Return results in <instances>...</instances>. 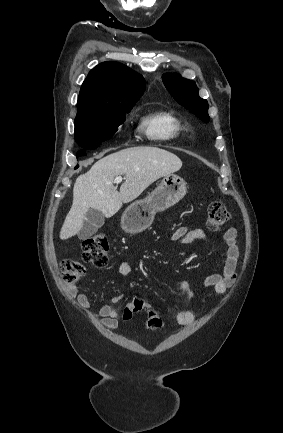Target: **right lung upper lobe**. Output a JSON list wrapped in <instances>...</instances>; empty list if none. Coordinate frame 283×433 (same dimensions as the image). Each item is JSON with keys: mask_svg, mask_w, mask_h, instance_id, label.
Here are the masks:
<instances>
[{"mask_svg": "<svg viewBox=\"0 0 283 433\" xmlns=\"http://www.w3.org/2000/svg\"><path fill=\"white\" fill-rule=\"evenodd\" d=\"M144 78L118 62H104L90 71L78 97V111L133 106L144 93Z\"/></svg>", "mask_w": 283, "mask_h": 433, "instance_id": "1", "label": "right lung upper lobe"}]
</instances>
